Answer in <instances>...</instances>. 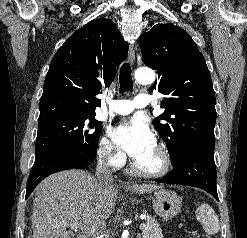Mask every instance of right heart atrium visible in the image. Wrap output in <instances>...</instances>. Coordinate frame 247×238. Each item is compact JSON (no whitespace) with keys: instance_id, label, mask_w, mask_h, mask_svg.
<instances>
[{"instance_id":"d8ad5b80","label":"right heart atrium","mask_w":247,"mask_h":238,"mask_svg":"<svg viewBox=\"0 0 247 238\" xmlns=\"http://www.w3.org/2000/svg\"><path fill=\"white\" fill-rule=\"evenodd\" d=\"M99 160L112 168H121L126 162L125 155L111 142L107 135L101 137L98 143Z\"/></svg>"}]
</instances>
